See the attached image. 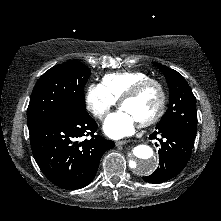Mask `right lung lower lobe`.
I'll return each mask as SVG.
<instances>
[{
    "instance_id": "obj_1",
    "label": "right lung lower lobe",
    "mask_w": 221,
    "mask_h": 221,
    "mask_svg": "<svg viewBox=\"0 0 221 221\" xmlns=\"http://www.w3.org/2000/svg\"><path fill=\"white\" fill-rule=\"evenodd\" d=\"M97 124L87 111H74L59 122L31 131L34 158L44 175L63 189H79L95 177L102 155L115 146L94 135ZM91 138L79 141L83 136Z\"/></svg>"
}]
</instances>
